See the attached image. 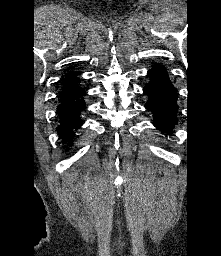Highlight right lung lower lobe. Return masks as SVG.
<instances>
[{
    "label": "right lung lower lobe",
    "instance_id": "obj_1",
    "mask_svg": "<svg viewBox=\"0 0 221 256\" xmlns=\"http://www.w3.org/2000/svg\"><path fill=\"white\" fill-rule=\"evenodd\" d=\"M84 94L85 92L82 91L60 98V104L57 107V114L60 118V126H58L57 131L64 143H67L68 146L73 145L72 138L75 136L74 131L82 124L80 114L86 108V104L82 99Z\"/></svg>",
    "mask_w": 221,
    "mask_h": 256
}]
</instances>
